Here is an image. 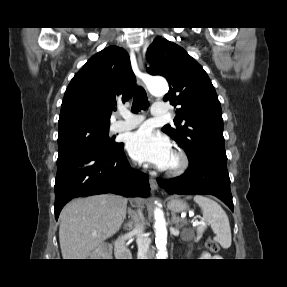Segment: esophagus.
<instances>
[{
  "mask_svg": "<svg viewBox=\"0 0 287 287\" xmlns=\"http://www.w3.org/2000/svg\"><path fill=\"white\" fill-rule=\"evenodd\" d=\"M138 67H139V72L137 73V81L140 85L145 87L144 73H143V62H142L140 55H138ZM149 184H150V188L152 191H156L158 189V183L154 177L149 178Z\"/></svg>",
  "mask_w": 287,
  "mask_h": 287,
  "instance_id": "obj_1",
  "label": "esophagus"
}]
</instances>
